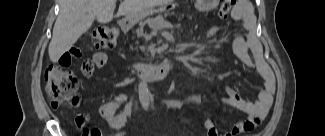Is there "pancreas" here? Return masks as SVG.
<instances>
[{
	"label": "pancreas",
	"mask_w": 325,
	"mask_h": 136,
	"mask_svg": "<svg viewBox=\"0 0 325 136\" xmlns=\"http://www.w3.org/2000/svg\"><path fill=\"white\" fill-rule=\"evenodd\" d=\"M189 15L187 14V12H176L174 9H169L166 17L168 19V22L172 23V24H184L185 23V19H187ZM146 23H148V21H145ZM143 24H137V30L135 29L134 31L142 37L144 36V38H152L153 35H155V32L152 33H144L146 30L143 28ZM145 28L147 27L146 25L144 26ZM144 33V34H143Z\"/></svg>",
	"instance_id": "1"
}]
</instances>
